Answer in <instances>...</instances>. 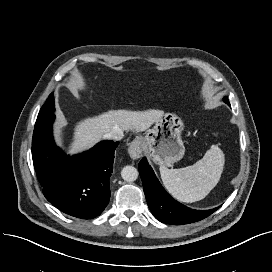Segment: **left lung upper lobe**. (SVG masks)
Segmentation results:
<instances>
[{
    "label": "left lung upper lobe",
    "mask_w": 272,
    "mask_h": 272,
    "mask_svg": "<svg viewBox=\"0 0 272 272\" xmlns=\"http://www.w3.org/2000/svg\"><path fill=\"white\" fill-rule=\"evenodd\" d=\"M223 100H224L225 103H227L228 105H230V103H229V101H228V99L226 97H224Z\"/></svg>",
    "instance_id": "left-lung-upper-lobe-1"
}]
</instances>
